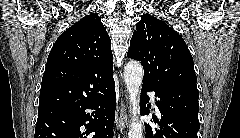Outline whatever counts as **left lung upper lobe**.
Instances as JSON below:
<instances>
[{
	"instance_id": "left-lung-upper-lobe-1",
	"label": "left lung upper lobe",
	"mask_w": 240,
	"mask_h": 138,
	"mask_svg": "<svg viewBox=\"0 0 240 138\" xmlns=\"http://www.w3.org/2000/svg\"><path fill=\"white\" fill-rule=\"evenodd\" d=\"M130 40L128 58L141 62L143 86L158 91L197 90L192 55L183 38L163 21L144 14Z\"/></svg>"
}]
</instances>
